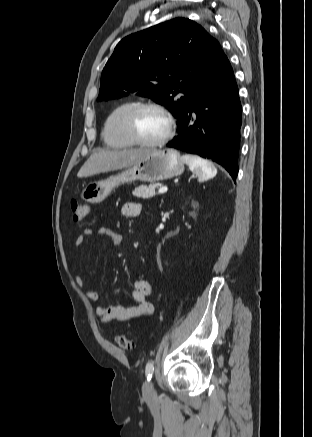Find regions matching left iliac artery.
Masks as SVG:
<instances>
[{"instance_id":"44dca946","label":"left iliac artery","mask_w":312,"mask_h":437,"mask_svg":"<svg viewBox=\"0 0 312 437\" xmlns=\"http://www.w3.org/2000/svg\"><path fill=\"white\" fill-rule=\"evenodd\" d=\"M154 372V362L152 360L148 361L145 367V374L147 380L150 381Z\"/></svg>"}]
</instances>
